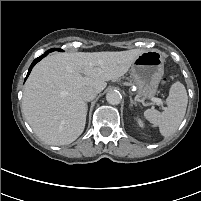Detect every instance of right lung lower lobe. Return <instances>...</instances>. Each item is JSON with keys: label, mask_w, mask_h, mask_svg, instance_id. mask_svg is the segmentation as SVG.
Wrapping results in <instances>:
<instances>
[{"label": "right lung lower lobe", "mask_w": 201, "mask_h": 201, "mask_svg": "<svg viewBox=\"0 0 201 201\" xmlns=\"http://www.w3.org/2000/svg\"><path fill=\"white\" fill-rule=\"evenodd\" d=\"M49 52H50V50H48V51L45 52L42 56L36 58V59L33 61V63L31 64V66H30V68H29V71H28V73H27L26 78H27L28 75L30 74V72H31V70H32V68H33V66H34L37 62H39L43 57H45ZM26 78H25V80H26Z\"/></svg>", "instance_id": "1"}]
</instances>
